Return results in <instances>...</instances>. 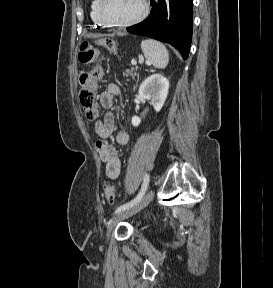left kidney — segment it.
<instances>
[{
  "label": "left kidney",
  "mask_w": 273,
  "mask_h": 288,
  "mask_svg": "<svg viewBox=\"0 0 273 288\" xmlns=\"http://www.w3.org/2000/svg\"><path fill=\"white\" fill-rule=\"evenodd\" d=\"M169 90V81L161 74H153L145 79L139 87V95L150 100L151 105L156 112H159L167 98ZM141 119L138 116L132 117V125L139 126Z\"/></svg>",
  "instance_id": "left-kidney-1"
}]
</instances>
